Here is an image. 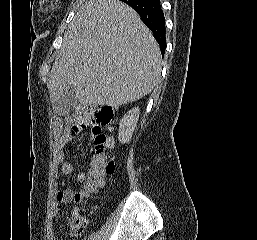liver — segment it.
<instances>
[{
	"label": "liver",
	"instance_id": "6515ba94",
	"mask_svg": "<svg viewBox=\"0 0 257 240\" xmlns=\"http://www.w3.org/2000/svg\"><path fill=\"white\" fill-rule=\"evenodd\" d=\"M160 74V47L138 14L119 0H89L65 31L48 89L53 104L72 85L82 106L117 110L149 94Z\"/></svg>",
	"mask_w": 257,
	"mask_h": 240
}]
</instances>
